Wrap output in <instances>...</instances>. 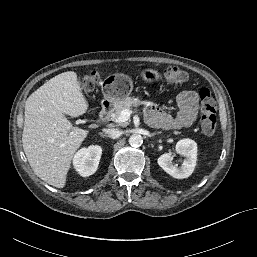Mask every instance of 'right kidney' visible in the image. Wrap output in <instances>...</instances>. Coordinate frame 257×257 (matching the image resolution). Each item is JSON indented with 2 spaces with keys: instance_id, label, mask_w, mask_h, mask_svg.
Returning a JSON list of instances; mask_svg holds the SVG:
<instances>
[{
  "instance_id": "1",
  "label": "right kidney",
  "mask_w": 257,
  "mask_h": 257,
  "mask_svg": "<svg viewBox=\"0 0 257 257\" xmlns=\"http://www.w3.org/2000/svg\"><path fill=\"white\" fill-rule=\"evenodd\" d=\"M101 154L102 148L98 145L80 149L73 158L75 170L83 177L94 174L98 168Z\"/></svg>"
}]
</instances>
